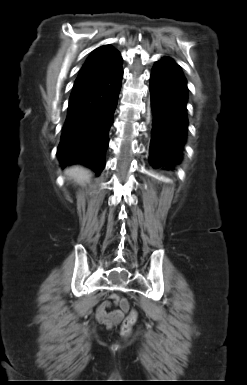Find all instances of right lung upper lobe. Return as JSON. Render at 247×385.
Wrapping results in <instances>:
<instances>
[{
  "mask_svg": "<svg viewBox=\"0 0 247 385\" xmlns=\"http://www.w3.org/2000/svg\"><path fill=\"white\" fill-rule=\"evenodd\" d=\"M122 62L120 53L109 45L97 48L89 56L80 70L76 81L92 76L98 72L113 68Z\"/></svg>",
  "mask_w": 247,
  "mask_h": 385,
  "instance_id": "right-lung-upper-lobe-1",
  "label": "right lung upper lobe"
}]
</instances>
